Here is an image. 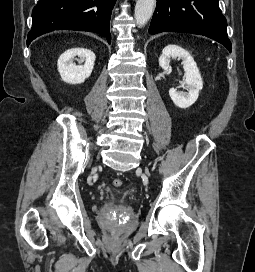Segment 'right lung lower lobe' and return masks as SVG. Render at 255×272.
<instances>
[{
	"mask_svg": "<svg viewBox=\"0 0 255 272\" xmlns=\"http://www.w3.org/2000/svg\"><path fill=\"white\" fill-rule=\"evenodd\" d=\"M116 0H40L32 11V40L54 30L90 31L111 43L110 16Z\"/></svg>",
	"mask_w": 255,
	"mask_h": 272,
	"instance_id": "right-lung-lower-lobe-1",
	"label": "right lung lower lobe"
}]
</instances>
